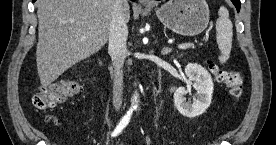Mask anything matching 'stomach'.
I'll list each match as a JSON object with an SVG mask.
<instances>
[{"instance_id": "0dacf381", "label": "stomach", "mask_w": 276, "mask_h": 145, "mask_svg": "<svg viewBox=\"0 0 276 145\" xmlns=\"http://www.w3.org/2000/svg\"><path fill=\"white\" fill-rule=\"evenodd\" d=\"M162 24L183 36H195L209 23V8L205 0H170L156 10Z\"/></svg>"}]
</instances>
